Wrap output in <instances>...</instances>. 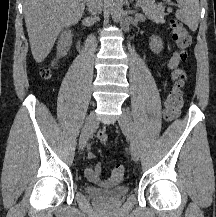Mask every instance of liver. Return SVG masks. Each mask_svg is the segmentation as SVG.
Returning <instances> with one entry per match:
<instances>
[{
	"instance_id": "obj_1",
	"label": "liver",
	"mask_w": 216,
	"mask_h": 217,
	"mask_svg": "<svg viewBox=\"0 0 216 217\" xmlns=\"http://www.w3.org/2000/svg\"><path fill=\"white\" fill-rule=\"evenodd\" d=\"M86 0H24L25 24L34 60L41 63L64 27L82 17Z\"/></svg>"
}]
</instances>
